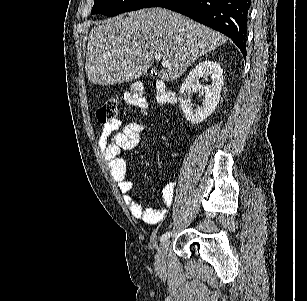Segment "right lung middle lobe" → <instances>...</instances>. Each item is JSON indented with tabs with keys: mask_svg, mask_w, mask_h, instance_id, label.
<instances>
[{
	"mask_svg": "<svg viewBox=\"0 0 307 301\" xmlns=\"http://www.w3.org/2000/svg\"><path fill=\"white\" fill-rule=\"evenodd\" d=\"M152 0H94L92 14L112 17L118 14L144 8Z\"/></svg>",
	"mask_w": 307,
	"mask_h": 301,
	"instance_id": "dd1d6c3e",
	"label": "right lung middle lobe"
}]
</instances>
